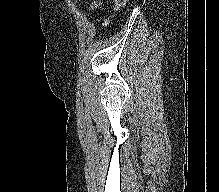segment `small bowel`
<instances>
[{"label": "small bowel", "mask_w": 219, "mask_h": 192, "mask_svg": "<svg viewBox=\"0 0 219 192\" xmlns=\"http://www.w3.org/2000/svg\"><path fill=\"white\" fill-rule=\"evenodd\" d=\"M99 5H100V1H97V2L92 3L90 8L94 9V8H97Z\"/></svg>", "instance_id": "1"}]
</instances>
